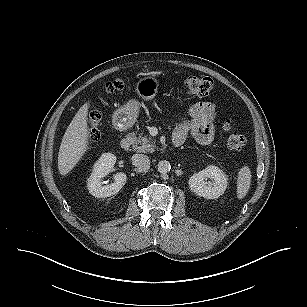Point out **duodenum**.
Here are the masks:
<instances>
[{
  "label": "duodenum",
  "instance_id": "1",
  "mask_svg": "<svg viewBox=\"0 0 307 307\" xmlns=\"http://www.w3.org/2000/svg\"><path fill=\"white\" fill-rule=\"evenodd\" d=\"M133 143V137L132 135L127 132L125 133V135L122 137L121 141H120V146L123 149H127L129 148ZM182 144V141L179 139H173V146L174 147H178Z\"/></svg>",
  "mask_w": 307,
  "mask_h": 307
}]
</instances>
